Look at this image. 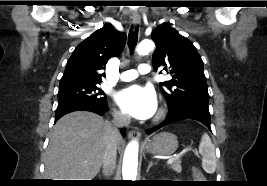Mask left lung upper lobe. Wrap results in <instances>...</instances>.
Here are the masks:
<instances>
[{
	"instance_id": "obj_1",
	"label": "left lung upper lobe",
	"mask_w": 267,
	"mask_h": 186,
	"mask_svg": "<svg viewBox=\"0 0 267 186\" xmlns=\"http://www.w3.org/2000/svg\"><path fill=\"white\" fill-rule=\"evenodd\" d=\"M156 44L152 65L163 67L172 79L161 82L169 111L186 106L208 108L209 94L203 70V61L194 45L180 35L170 23H164L152 33Z\"/></svg>"
}]
</instances>
